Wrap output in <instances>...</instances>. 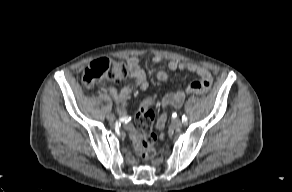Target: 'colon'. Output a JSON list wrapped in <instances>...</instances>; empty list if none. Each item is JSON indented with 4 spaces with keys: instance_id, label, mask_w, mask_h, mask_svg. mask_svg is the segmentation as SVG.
Wrapping results in <instances>:
<instances>
[{
    "instance_id": "5ec220e1",
    "label": "colon",
    "mask_w": 292,
    "mask_h": 192,
    "mask_svg": "<svg viewBox=\"0 0 292 192\" xmlns=\"http://www.w3.org/2000/svg\"><path fill=\"white\" fill-rule=\"evenodd\" d=\"M129 76L125 64L114 62L108 58H101L91 62L83 73V82L87 87L102 84L107 81L117 82ZM155 100L148 96L141 104L137 114V123L143 131L140 156L144 161H150L155 156V141L150 131L154 120L153 105Z\"/></svg>"
}]
</instances>
